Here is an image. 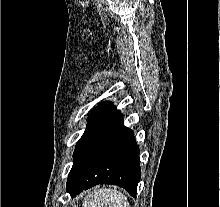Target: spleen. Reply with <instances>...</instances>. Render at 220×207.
Returning a JSON list of instances; mask_svg holds the SVG:
<instances>
[{
    "instance_id": "spleen-1",
    "label": "spleen",
    "mask_w": 220,
    "mask_h": 207,
    "mask_svg": "<svg viewBox=\"0 0 220 207\" xmlns=\"http://www.w3.org/2000/svg\"><path fill=\"white\" fill-rule=\"evenodd\" d=\"M83 207H129L127 197L115 188L98 187L85 196Z\"/></svg>"
}]
</instances>
